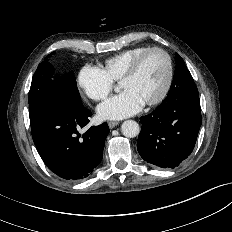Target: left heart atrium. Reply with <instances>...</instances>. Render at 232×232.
<instances>
[{
    "instance_id": "1",
    "label": "left heart atrium",
    "mask_w": 232,
    "mask_h": 232,
    "mask_svg": "<svg viewBox=\"0 0 232 232\" xmlns=\"http://www.w3.org/2000/svg\"><path fill=\"white\" fill-rule=\"evenodd\" d=\"M144 104V101L133 92L123 90L100 104L97 111L102 119L118 120L138 113Z\"/></svg>"
}]
</instances>
